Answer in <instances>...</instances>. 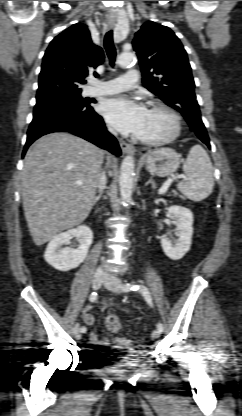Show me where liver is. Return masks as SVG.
<instances>
[{
  "mask_svg": "<svg viewBox=\"0 0 242 416\" xmlns=\"http://www.w3.org/2000/svg\"><path fill=\"white\" fill-rule=\"evenodd\" d=\"M103 159L102 149L65 132L42 136L28 149L22 170V198L37 246L87 218L94 205ZM111 159L109 155V164Z\"/></svg>",
  "mask_w": 242,
  "mask_h": 416,
  "instance_id": "1",
  "label": "liver"
}]
</instances>
